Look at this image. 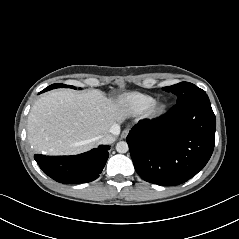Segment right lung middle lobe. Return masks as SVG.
<instances>
[{
    "instance_id": "right-lung-middle-lobe-1",
    "label": "right lung middle lobe",
    "mask_w": 239,
    "mask_h": 239,
    "mask_svg": "<svg viewBox=\"0 0 239 239\" xmlns=\"http://www.w3.org/2000/svg\"><path fill=\"white\" fill-rule=\"evenodd\" d=\"M61 87H68V88L76 89L74 86L56 83V84H52L51 86H49V87H47L46 89H44L43 92H44V91L51 90V89H54V88H61Z\"/></svg>"
}]
</instances>
